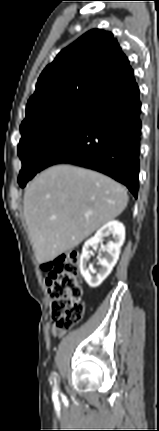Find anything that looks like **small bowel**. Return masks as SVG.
Listing matches in <instances>:
<instances>
[{
	"label": "small bowel",
	"instance_id": "1",
	"mask_svg": "<svg viewBox=\"0 0 159 431\" xmlns=\"http://www.w3.org/2000/svg\"><path fill=\"white\" fill-rule=\"evenodd\" d=\"M51 333L54 337H62L65 334V330L59 329L56 326H52Z\"/></svg>",
	"mask_w": 159,
	"mask_h": 431
}]
</instances>
